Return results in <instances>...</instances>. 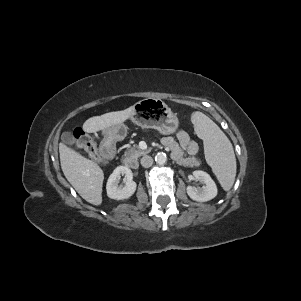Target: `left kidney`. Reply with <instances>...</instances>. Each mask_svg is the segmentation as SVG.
<instances>
[{"mask_svg": "<svg viewBox=\"0 0 301 301\" xmlns=\"http://www.w3.org/2000/svg\"><path fill=\"white\" fill-rule=\"evenodd\" d=\"M193 177L195 180L203 182L205 185L202 188L192 186L187 187V194L192 200L206 202L217 195V186L208 173L197 170L193 172Z\"/></svg>", "mask_w": 301, "mask_h": 301, "instance_id": "5707ae66", "label": "left kidney"}]
</instances>
